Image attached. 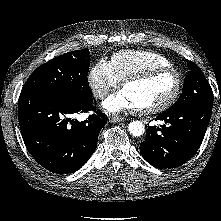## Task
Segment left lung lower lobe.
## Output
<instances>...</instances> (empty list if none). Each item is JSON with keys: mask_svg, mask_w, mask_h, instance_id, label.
Masks as SVG:
<instances>
[{"mask_svg": "<svg viewBox=\"0 0 221 221\" xmlns=\"http://www.w3.org/2000/svg\"><path fill=\"white\" fill-rule=\"evenodd\" d=\"M212 106L193 105L179 111H164L156 120L167 125L148 126L140 145L143 158L156 168H175L190 160L200 147Z\"/></svg>", "mask_w": 221, "mask_h": 221, "instance_id": "obj_1", "label": "left lung lower lobe"}]
</instances>
